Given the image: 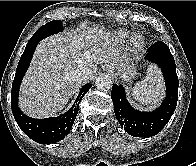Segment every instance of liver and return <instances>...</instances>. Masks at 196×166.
<instances>
[{
    "label": "liver",
    "instance_id": "1",
    "mask_svg": "<svg viewBox=\"0 0 196 166\" xmlns=\"http://www.w3.org/2000/svg\"><path fill=\"white\" fill-rule=\"evenodd\" d=\"M116 36L106 28L65 31L40 41L23 78L19 106L33 118L48 117L62 110L83 81L75 77L78 68L89 71L91 80L97 65L116 69L123 62Z\"/></svg>",
    "mask_w": 196,
    "mask_h": 166
}]
</instances>
